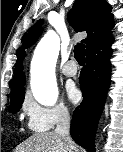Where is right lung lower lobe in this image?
Returning <instances> with one entry per match:
<instances>
[{
  "label": "right lung lower lobe",
  "mask_w": 123,
  "mask_h": 152,
  "mask_svg": "<svg viewBox=\"0 0 123 152\" xmlns=\"http://www.w3.org/2000/svg\"><path fill=\"white\" fill-rule=\"evenodd\" d=\"M110 37L86 53L85 70L80 75L83 101L75 109L70 133L73 140L89 152L94 151V138L110 85Z\"/></svg>",
  "instance_id": "98d812e1"
}]
</instances>
